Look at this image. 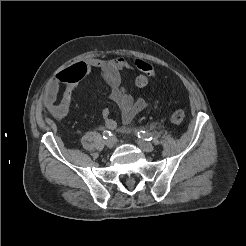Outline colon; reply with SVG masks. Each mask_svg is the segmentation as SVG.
Wrapping results in <instances>:
<instances>
[{
  "label": "colon",
  "mask_w": 246,
  "mask_h": 246,
  "mask_svg": "<svg viewBox=\"0 0 246 246\" xmlns=\"http://www.w3.org/2000/svg\"><path fill=\"white\" fill-rule=\"evenodd\" d=\"M135 66L141 72L135 79L138 87H145L148 85L150 79L155 77L154 68L146 61L141 59L135 60ZM185 119V111L183 109H176L171 114V121L174 124H180Z\"/></svg>",
  "instance_id": "colon-1"
}]
</instances>
